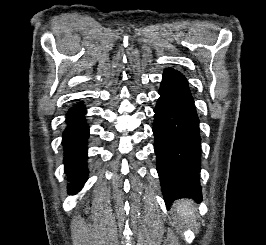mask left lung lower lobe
<instances>
[{
	"label": "left lung lower lobe",
	"instance_id": "1",
	"mask_svg": "<svg viewBox=\"0 0 266 245\" xmlns=\"http://www.w3.org/2000/svg\"><path fill=\"white\" fill-rule=\"evenodd\" d=\"M159 95L154 109V150L166 205L182 197L202 201L199 118L186 78L167 68Z\"/></svg>",
	"mask_w": 266,
	"mask_h": 245
}]
</instances>
